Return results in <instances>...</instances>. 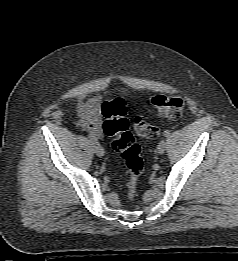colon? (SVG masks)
<instances>
[{
    "label": "colon",
    "mask_w": 238,
    "mask_h": 261,
    "mask_svg": "<svg viewBox=\"0 0 238 261\" xmlns=\"http://www.w3.org/2000/svg\"><path fill=\"white\" fill-rule=\"evenodd\" d=\"M150 105L161 115L178 119L182 116L185 103L179 97L156 95L150 99ZM103 132L113 137L112 149L123 159L128 177L126 180V200L132 203L137 195L138 184L145 169L141 157V149L134 134L129 130V121L126 118L127 106L123 99L116 98L103 104ZM132 127L142 138L151 139L158 135V128L149 123L142 116L133 119Z\"/></svg>",
    "instance_id": "1"
}]
</instances>
